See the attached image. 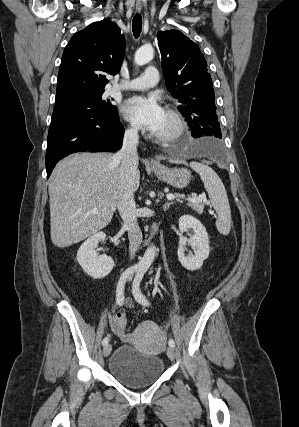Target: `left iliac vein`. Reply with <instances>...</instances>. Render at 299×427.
Returning a JSON list of instances; mask_svg holds the SVG:
<instances>
[{
	"label": "left iliac vein",
	"mask_w": 299,
	"mask_h": 427,
	"mask_svg": "<svg viewBox=\"0 0 299 427\" xmlns=\"http://www.w3.org/2000/svg\"><path fill=\"white\" fill-rule=\"evenodd\" d=\"M167 356L171 359V360H173L174 359V357H175V351H174V348L173 347H168L167 348Z\"/></svg>",
	"instance_id": "4c4485c4"
}]
</instances>
